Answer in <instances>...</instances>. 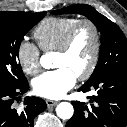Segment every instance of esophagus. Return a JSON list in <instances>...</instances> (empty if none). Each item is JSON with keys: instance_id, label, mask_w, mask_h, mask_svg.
<instances>
[{"instance_id": "34e87169", "label": "esophagus", "mask_w": 127, "mask_h": 127, "mask_svg": "<svg viewBox=\"0 0 127 127\" xmlns=\"http://www.w3.org/2000/svg\"><path fill=\"white\" fill-rule=\"evenodd\" d=\"M46 104L48 107H53L57 105V102L52 100H46Z\"/></svg>"}]
</instances>
